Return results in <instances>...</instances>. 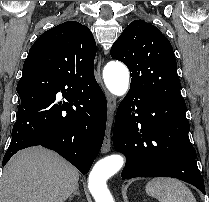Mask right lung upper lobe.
Masks as SVG:
<instances>
[{
	"label": "right lung upper lobe",
	"instance_id": "cb5924a9",
	"mask_svg": "<svg viewBox=\"0 0 209 202\" xmlns=\"http://www.w3.org/2000/svg\"><path fill=\"white\" fill-rule=\"evenodd\" d=\"M96 43L88 27L75 21L44 32L30 48L23 73L47 71L77 90L92 86Z\"/></svg>",
	"mask_w": 209,
	"mask_h": 202
}]
</instances>
